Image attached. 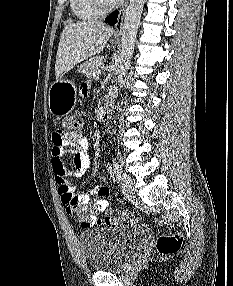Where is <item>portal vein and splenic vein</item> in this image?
Instances as JSON below:
<instances>
[{
    "label": "portal vein and splenic vein",
    "mask_w": 233,
    "mask_h": 286,
    "mask_svg": "<svg viewBox=\"0 0 233 286\" xmlns=\"http://www.w3.org/2000/svg\"><path fill=\"white\" fill-rule=\"evenodd\" d=\"M99 75H100V71H99V72H97V74H96V78H99Z\"/></svg>",
    "instance_id": "obj_1"
}]
</instances>
